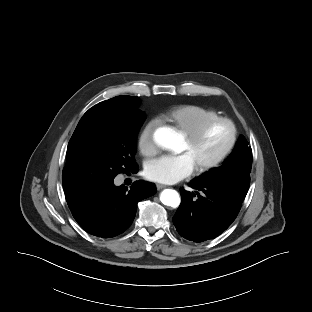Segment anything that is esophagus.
Instances as JSON below:
<instances>
[{"instance_id":"34e87169","label":"esophagus","mask_w":312,"mask_h":312,"mask_svg":"<svg viewBox=\"0 0 312 312\" xmlns=\"http://www.w3.org/2000/svg\"><path fill=\"white\" fill-rule=\"evenodd\" d=\"M156 187H157L158 190H161V189H163V188H166V186L163 185V184H156Z\"/></svg>"}]
</instances>
